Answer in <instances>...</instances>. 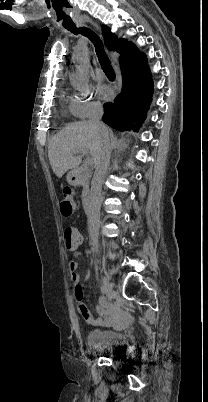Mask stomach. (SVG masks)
Wrapping results in <instances>:
<instances>
[{"label":"stomach","mask_w":208,"mask_h":402,"mask_svg":"<svg viewBox=\"0 0 208 402\" xmlns=\"http://www.w3.org/2000/svg\"><path fill=\"white\" fill-rule=\"evenodd\" d=\"M66 180L70 186H79L81 182V178H79L76 170H72V172H68L66 176Z\"/></svg>","instance_id":"stomach-1"}]
</instances>
